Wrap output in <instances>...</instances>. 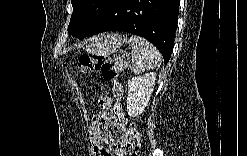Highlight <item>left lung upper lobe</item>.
Instances as JSON below:
<instances>
[{"label":"left lung upper lobe","mask_w":247,"mask_h":156,"mask_svg":"<svg viewBox=\"0 0 247 156\" xmlns=\"http://www.w3.org/2000/svg\"><path fill=\"white\" fill-rule=\"evenodd\" d=\"M113 0H72L73 13L68 33L79 39L88 36L92 27L107 12Z\"/></svg>","instance_id":"left-lung-upper-lobe-1"}]
</instances>
